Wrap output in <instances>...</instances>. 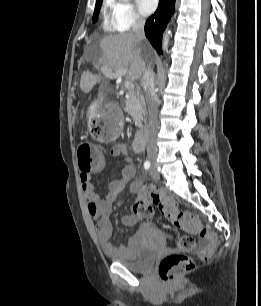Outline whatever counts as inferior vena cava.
Instances as JSON below:
<instances>
[{"mask_svg": "<svg viewBox=\"0 0 261 306\" xmlns=\"http://www.w3.org/2000/svg\"><path fill=\"white\" fill-rule=\"evenodd\" d=\"M144 23L145 21L141 17H137L132 25V31L139 41H143L145 39ZM142 84L145 90L149 122L147 153L148 155H155L156 146L152 140V137L158 128V98L155 93L154 73L150 66H147L143 72Z\"/></svg>", "mask_w": 261, "mask_h": 306, "instance_id": "1", "label": "inferior vena cava"}]
</instances>
